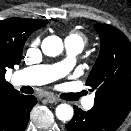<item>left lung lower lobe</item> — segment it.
<instances>
[{
	"label": "left lung lower lobe",
	"instance_id": "left-lung-lower-lobe-1",
	"mask_svg": "<svg viewBox=\"0 0 131 131\" xmlns=\"http://www.w3.org/2000/svg\"><path fill=\"white\" fill-rule=\"evenodd\" d=\"M118 128L97 109L84 112L77 106H74L72 120L66 124L68 131H115Z\"/></svg>",
	"mask_w": 131,
	"mask_h": 131
}]
</instances>
